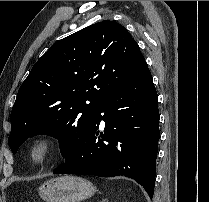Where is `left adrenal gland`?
<instances>
[{"instance_id": "left-adrenal-gland-1", "label": "left adrenal gland", "mask_w": 209, "mask_h": 202, "mask_svg": "<svg viewBox=\"0 0 209 202\" xmlns=\"http://www.w3.org/2000/svg\"><path fill=\"white\" fill-rule=\"evenodd\" d=\"M105 201H106V199L102 200L101 202H105Z\"/></svg>"}]
</instances>
